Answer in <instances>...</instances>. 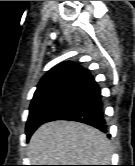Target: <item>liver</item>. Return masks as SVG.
<instances>
[{
    "label": "liver",
    "mask_w": 135,
    "mask_h": 166,
    "mask_svg": "<svg viewBox=\"0 0 135 166\" xmlns=\"http://www.w3.org/2000/svg\"><path fill=\"white\" fill-rule=\"evenodd\" d=\"M28 156L33 165H109L112 146L106 135L94 127L53 121L34 132Z\"/></svg>",
    "instance_id": "1"
}]
</instances>
